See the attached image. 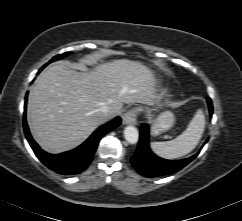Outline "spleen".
Wrapping results in <instances>:
<instances>
[{"instance_id":"3e777b00","label":"spleen","mask_w":242,"mask_h":221,"mask_svg":"<svg viewBox=\"0 0 242 221\" xmlns=\"http://www.w3.org/2000/svg\"><path fill=\"white\" fill-rule=\"evenodd\" d=\"M205 128V116L199 109L186 130L171 141L151 142V149L159 157L177 159L190 153L199 143Z\"/></svg>"}]
</instances>
